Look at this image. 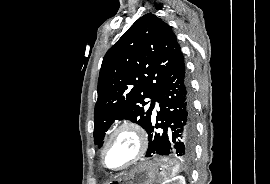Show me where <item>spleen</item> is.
Wrapping results in <instances>:
<instances>
[{
	"label": "spleen",
	"instance_id": "3e777b00",
	"mask_svg": "<svg viewBox=\"0 0 270 184\" xmlns=\"http://www.w3.org/2000/svg\"><path fill=\"white\" fill-rule=\"evenodd\" d=\"M160 161H165V159H161ZM162 165L164 166L163 162H162ZM178 170H179V167L178 168H174L170 174H167L166 172H162L163 181H164L162 184H164L166 181H168L171 178H173L178 173Z\"/></svg>",
	"mask_w": 270,
	"mask_h": 184
}]
</instances>
